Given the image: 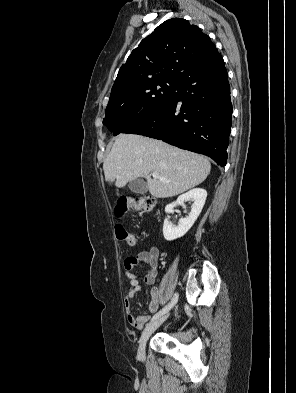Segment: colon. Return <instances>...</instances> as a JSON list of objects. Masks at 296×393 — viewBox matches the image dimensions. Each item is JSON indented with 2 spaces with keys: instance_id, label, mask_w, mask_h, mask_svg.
Returning <instances> with one entry per match:
<instances>
[{
  "instance_id": "5ec220e1",
  "label": "colon",
  "mask_w": 296,
  "mask_h": 393,
  "mask_svg": "<svg viewBox=\"0 0 296 393\" xmlns=\"http://www.w3.org/2000/svg\"><path fill=\"white\" fill-rule=\"evenodd\" d=\"M126 206V201L122 200L118 204V214H123L126 211ZM154 206L155 200L152 197H141L136 203V208L144 211H150ZM115 234L119 240L126 242L129 246H135L137 243L135 234L121 225L115 226Z\"/></svg>"
}]
</instances>
